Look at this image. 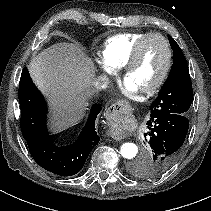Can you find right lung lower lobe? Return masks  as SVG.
<instances>
[{"instance_id":"right-lung-lower-lobe-1","label":"right lung lower lobe","mask_w":211,"mask_h":211,"mask_svg":"<svg viewBox=\"0 0 211 211\" xmlns=\"http://www.w3.org/2000/svg\"><path fill=\"white\" fill-rule=\"evenodd\" d=\"M18 99L21 107L22 135L36 163L60 176L78 173L100 140L95 129V120L101 110L99 105L95 104L92 107L87 124L78 139L69 146L58 147L52 143L48 135L46 102L33 84L26 67L21 74Z\"/></svg>"}]
</instances>
